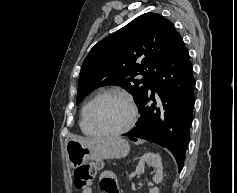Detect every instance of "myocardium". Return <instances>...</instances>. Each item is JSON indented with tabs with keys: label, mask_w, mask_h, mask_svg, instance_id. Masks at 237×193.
Instances as JSON below:
<instances>
[{
	"label": "myocardium",
	"mask_w": 237,
	"mask_h": 193,
	"mask_svg": "<svg viewBox=\"0 0 237 193\" xmlns=\"http://www.w3.org/2000/svg\"><path fill=\"white\" fill-rule=\"evenodd\" d=\"M105 97H115L120 100H122L129 108L130 110V119L127 123V125L119 130L115 131H105L101 130L100 128L97 127V125L94 122L93 119V111L98 103L102 98ZM138 117V109L133 100L128 97L127 95L117 92V91H104L102 93H99L94 99L89 104L88 111H87V119L88 123L91 126V128L100 136H105V137H115V136H120L123 135L127 132H129L135 125L136 120Z\"/></svg>",
	"instance_id": "myocardium-1"
}]
</instances>
